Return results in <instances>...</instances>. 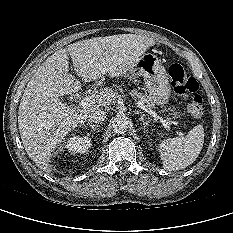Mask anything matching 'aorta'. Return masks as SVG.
<instances>
[{"label":"aorta","mask_w":233,"mask_h":233,"mask_svg":"<svg viewBox=\"0 0 233 233\" xmlns=\"http://www.w3.org/2000/svg\"><path fill=\"white\" fill-rule=\"evenodd\" d=\"M129 128V121L125 117H115L112 120V129L117 134H124Z\"/></svg>","instance_id":"aorta-1"}]
</instances>
